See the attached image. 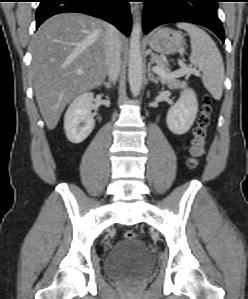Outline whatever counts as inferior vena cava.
<instances>
[{"label":"inferior vena cava","instance_id":"602c4592","mask_svg":"<svg viewBox=\"0 0 248 299\" xmlns=\"http://www.w3.org/2000/svg\"><path fill=\"white\" fill-rule=\"evenodd\" d=\"M105 55L107 61V73L109 79L116 81L121 68V45L118 31L115 27L108 25L105 35Z\"/></svg>","mask_w":248,"mask_h":299}]
</instances>
